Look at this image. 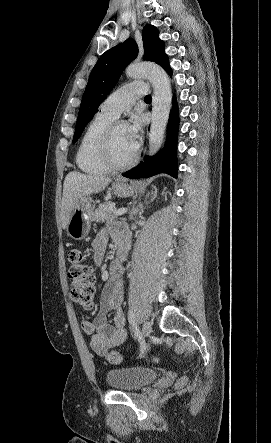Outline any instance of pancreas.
<instances>
[{
    "label": "pancreas",
    "mask_w": 271,
    "mask_h": 443,
    "mask_svg": "<svg viewBox=\"0 0 271 443\" xmlns=\"http://www.w3.org/2000/svg\"><path fill=\"white\" fill-rule=\"evenodd\" d=\"M110 206H114L113 202L99 204L97 210L92 214V220H94V222H100V220H109V218H113V210H110Z\"/></svg>",
    "instance_id": "obj_1"
}]
</instances>
